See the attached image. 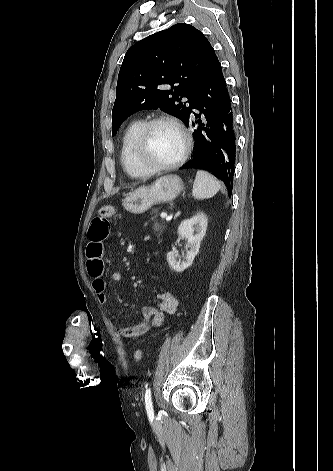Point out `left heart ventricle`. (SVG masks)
Instances as JSON below:
<instances>
[{"mask_svg":"<svg viewBox=\"0 0 333 471\" xmlns=\"http://www.w3.org/2000/svg\"><path fill=\"white\" fill-rule=\"evenodd\" d=\"M181 150L182 139L173 126L159 124L151 130L148 157L153 163H170L180 155Z\"/></svg>","mask_w":333,"mask_h":471,"instance_id":"obj_1","label":"left heart ventricle"}]
</instances>
